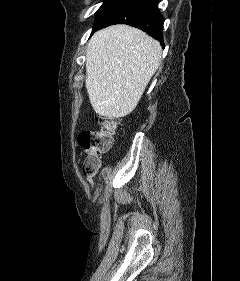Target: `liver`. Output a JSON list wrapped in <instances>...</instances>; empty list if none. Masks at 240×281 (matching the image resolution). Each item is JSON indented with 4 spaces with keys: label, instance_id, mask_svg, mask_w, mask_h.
<instances>
[{
    "label": "liver",
    "instance_id": "obj_1",
    "mask_svg": "<svg viewBox=\"0 0 240 281\" xmlns=\"http://www.w3.org/2000/svg\"><path fill=\"white\" fill-rule=\"evenodd\" d=\"M161 53L158 41L128 25L96 32L86 49L85 79L94 111L108 118L130 114L158 69Z\"/></svg>",
    "mask_w": 240,
    "mask_h": 281
}]
</instances>
